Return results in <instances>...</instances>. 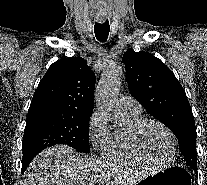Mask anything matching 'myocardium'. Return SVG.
<instances>
[{
	"instance_id": "obj_1",
	"label": "myocardium",
	"mask_w": 207,
	"mask_h": 185,
	"mask_svg": "<svg viewBox=\"0 0 207 185\" xmlns=\"http://www.w3.org/2000/svg\"><path fill=\"white\" fill-rule=\"evenodd\" d=\"M150 125H157V126L163 128L169 134V136L172 140V143H173V152L168 159L160 160V159L155 158L154 156H152L149 153V151L146 147V144H145L144 136H145V132H146L147 128ZM134 139H135V142H136L139 150L142 152V154L154 163L165 165V164L172 162L174 160V158L176 157L177 150H178V143H177L176 136H175L174 132L172 131V129L160 120L144 119L143 121H141L134 130Z\"/></svg>"
}]
</instances>
